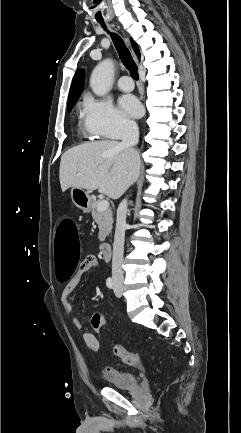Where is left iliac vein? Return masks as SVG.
<instances>
[{
  "label": "left iliac vein",
  "instance_id": "1",
  "mask_svg": "<svg viewBox=\"0 0 241 433\" xmlns=\"http://www.w3.org/2000/svg\"><path fill=\"white\" fill-rule=\"evenodd\" d=\"M114 293H115V295L117 297H121V295H122V288H121L120 285L115 284V286H114Z\"/></svg>",
  "mask_w": 241,
  "mask_h": 433
}]
</instances>
